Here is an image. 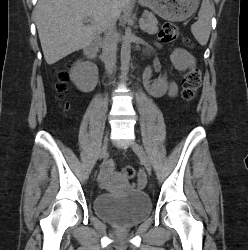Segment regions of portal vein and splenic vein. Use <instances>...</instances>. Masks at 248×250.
<instances>
[{
  "instance_id": "obj_1",
  "label": "portal vein and splenic vein",
  "mask_w": 248,
  "mask_h": 250,
  "mask_svg": "<svg viewBox=\"0 0 248 250\" xmlns=\"http://www.w3.org/2000/svg\"><path fill=\"white\" fill-rule=\"evenodd\" d=\"M143 23V18L139 19V24Z\"/></svg>"
}]
</instances>
